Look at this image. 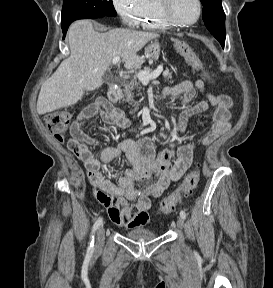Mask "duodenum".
I'll use <instances>...</instances> for the list:
<instances>
[{"label": "duodenum", "instance_id": "410a0bca", "mask_svg": "<svg viewBox=\"0 0 273 288\" xmlns=\"http://www.w3.org/2000/svg\"><path fill=\"white\" fill-rule=\"evenodd\" d=\"M120 89L118 87H112L109 89L108 91V99L110 101V103L115 104L118 102L119 98H120ZM101 105H104V102L100 101L99 102Z\"/></svg>", "mask_w": 273, "mask_h": 288}]
</instances>
